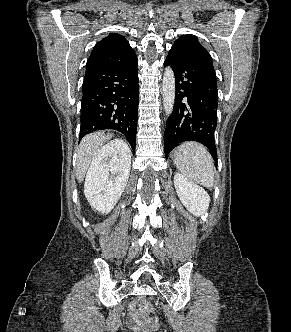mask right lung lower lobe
Returning a JSON list of instances; mask_svg holds the SVG:
<instances>
[{
  "label": "right lung lower lobe",
  "instance_id": "98d812e1",
  "mask_svg": "<svg viewBox=\"0 0 291 332\" xmlns=\"http://www.w3.org/2000/svg\"><path fill=\"white\" fill-rule=\"evenodd\" d=\"M138 60L86 71L81 101L80 139L113 129L123 133L135 152L138 120Z\"/></svg>",
  "mask_w": 291,
  "mask_h": 332
}]
</instances>
